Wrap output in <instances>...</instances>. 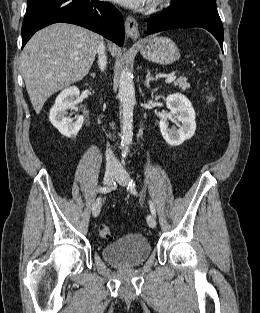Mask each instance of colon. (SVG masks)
Listing matches in <instances>:
<instances>
[{
    "mask_svg": "<svg viewBox=\"0 0 260 313\" xmlns=\"http://www.w3.org/2000/svg\"><path fill=\"white\" fill-rule=\"evenodd\" d=\"M98 233H99V236L103 239H106V240L113 239L112 231L110 227L107 225H100L98 228Z\"/></svg>",
    "mask_w": 260,
    "mask_h": 313,
    "instance_id": "obj_1",
    "label": "colon"
}]
</instances>
